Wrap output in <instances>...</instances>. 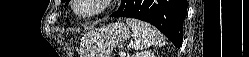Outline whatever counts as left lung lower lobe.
<instances>
[{"instance_id":"1","label":"left lung lower lobe","mask_w":249,"mask_h":57,"mask_svg":"<svg viewBox=\"0 0 249 57\" xmlns=\"http://www.w3.org/2000/svg\"><path fill=\"white\" fill-rule=\"evenodd\" d=\"M186 13L187 0H121V6L110 17H132L149 22L175 47H180Z\"/></svg>"}]
</instances>
